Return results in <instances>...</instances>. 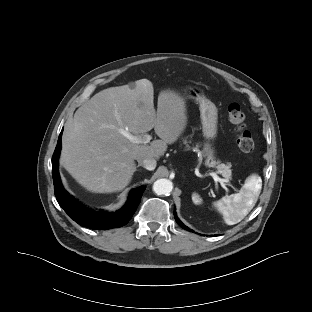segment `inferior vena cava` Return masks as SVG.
<instances>
[{"label":"inferior vena cava","mask_w":312,"mask_h":312,"mask_svg":"<svg viewBox=\"0 0 312 312\" xmlns=\"http://www.w3.org/2000/svg\"><path fill=\"white\" fill-rule=\"evenodd\" d=\"M136 160L138 161V164L142 167H144L147 170H154L156 168V160L154 158H141L137 157Z\"/></svg>","instance_id":"602c4592"}]
</instances>
